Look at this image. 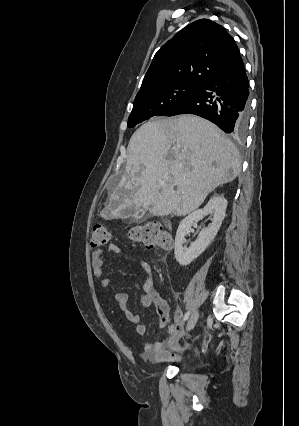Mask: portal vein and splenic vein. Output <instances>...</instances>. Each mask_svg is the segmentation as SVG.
Segmentation results:
<instances>
[{
	"label": "portal vein and splenic vein",
	"mask_w": 299,
	"mask_h": 426,
	"mask_svg": "<svg viewBox=\"0 0 299 426\" xmlns=\"http://www.w3.org/2000/svg\"><path fill=\"white\" fill-rule=\"evenodd\" d=\"M160 184H161L162 186H164V185H165V182H164V181H162V182H160Z\"/></svg>",
	"instance_id": "1"
}]
</instances>
